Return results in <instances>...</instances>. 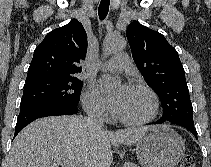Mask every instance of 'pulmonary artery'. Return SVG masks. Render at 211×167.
<instances>
[{
	"instance_id": "pulmonary-artery-1",
	"label": "pulmonary artery",
	"mask_w": 211,
	"mask_h": 167,
	"mask_svg": "<svg viewBox=\"0 0 211 167\" xmlns=\"http://www.w3.org/2000/svg\"><path fill=\"white\" fill-rule=\"evenodd\" d=\"M131 66L132 64L129 56L125 53H120L111 58L110 60L106 61L105 63H103L100 69L103 71H112V70L124 71V70H129Z\"/></svg>"
}]
</instances>
